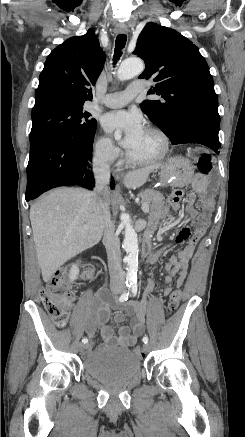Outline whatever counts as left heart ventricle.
I'll return each instance as SVG.
<instances>
[{"mask_svg":"<svg viewBox=\"0 0 245 437\" xmlns=\"http://www.w3.org/2000/svg\"><path fill=\"white\" fill-rule=\"evenodd\" d=\"M160 149V138L156 134L145 130L136 147L129 153L135 158H148L157 154Z\"/></svg>","mask_w":245,"mask_h":437,"instance_id":"left-heart-ventricle-1","label":"left heart ventricle"}]
</instances>
